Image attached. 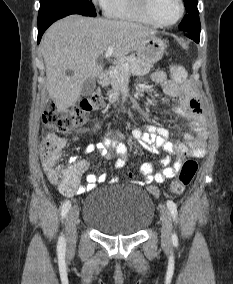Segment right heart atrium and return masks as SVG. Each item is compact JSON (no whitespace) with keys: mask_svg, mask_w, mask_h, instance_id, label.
I'll use <instances>...</instances> for the list:
<instances>
[{"mask_svg":"<svg viewBox=\"0 0 233 284\" xmlns=\"http://www.w3.org/2000/svg\"><path fill=\"white\" fill-rule=\"evenodd\" d=\"M95 4H97V5H99V6H101V7H103L104 8V6H105V4H106V2H107V0H92Z\"/></svg>","mask_w":233,"mask_h":284,"instance_id":"right-heart-atrium-1","label":"right heart atrium"}]
</instances>
